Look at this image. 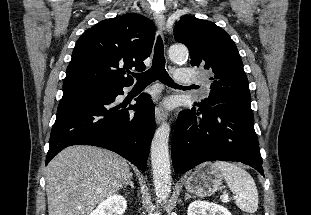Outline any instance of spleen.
<instances>
[{"mask_svg": "<svg viewBox=\"0 0 311 215\" xmlns=\"http://www.w3.org/2000/svg\"><path fill=\"white\" fill-rule=\"evenodd\" d=\"M212 167L219 170L230 190L236 195V205L244 212H256L258 191L252 176L240 166L230 162L217 161Z\"/></svg>", "mask_w": 311, "mask_h": 215, "instance_id": "spleen-1", "label": "spleen"}]
</instances>
